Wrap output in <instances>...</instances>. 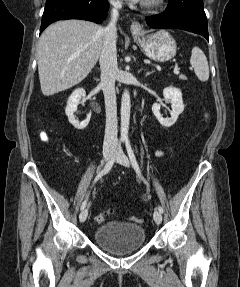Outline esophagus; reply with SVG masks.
<instances>
[{
    "label": "esophagus",
    "mask_w": 240,
    "mask_h": 287,
    "mask_svg": "<svg viewBox=\"0 0 240 287\" xmlns=\"http://www.w3.org/2000/svg\"><path fill=\"white\" fill-rule=\"evenodd\" d=\"M130 29L133 35H140L142 33V25L137 21L132 22Z\"/></svg>",
    "instance_id": "obj_1"
}]
</instances>
